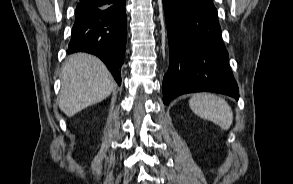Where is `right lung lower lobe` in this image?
<instances>
[{
  "mask_svg": "<svg viewBox=\"0 0 293 184\" xmlns=\"http://www.w3.org/2000/svg\"><path fill=\"white\" fill-rule=\"evenodd\" d=\"M125 1L112 0L104 7L78 4L68 46L69 54L82 51L98 56L118 85L127 38Z\"/></svg>",
  "mask_w": 293,
  "mask_h": 184,
  "instance_id": "obj_1",
  "label": "right lung lower lobe"
}]
</instances>
